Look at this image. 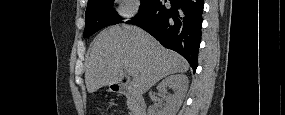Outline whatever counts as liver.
<instances>
[{"mask_svg":"<svg viewBox=\"0 0 285 115\" xmlns=\"http://www.w3.org/2000/svg\"><path fill=\"white\" fill-rule=\"evenodd\" d=\"M188 62L135 26L106 28L95 38L85 71L87 91L117 84L131 71L132 89L144 94L162 78L184 73Z\"/></svg>","mask_w":285,"mask_h":115,"instance_id":"1","label":"liver"}]
</instances>
